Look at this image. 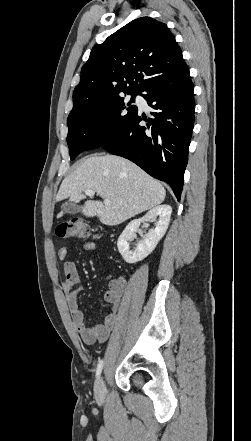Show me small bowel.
Returning <instances> with one entry per match:
<instances>
[{
  "instance_id": "small-bowel-1",
  "label": "small bowel",
  "mask_w": 251,
  "mask_h": 441,
  "mask_svg": "<svg viewBox=\"0 0 251 441\" xmlns=\"http://www.w3.org/2000/svg\"><path fill=\"white\" fill-rule=\"evenodd\" d=\"M83 248L87 252H93L96 244L92 241L85 242ZM58 257L66 260L68 257V248L60 246L58 249ZM65 280L62 285L63 292L66 296L67 306L70 312L73 326L82 341L86 344L105 342L117 322V312L121 298L125 291V280L123 278L111 279L108 288L104 293V301L109 305L102 323L88 327L84 320V315L78 307V296L82 289L81 278L74 262L65 261L63 265Z\"/></svg>"
}]
</instances>
